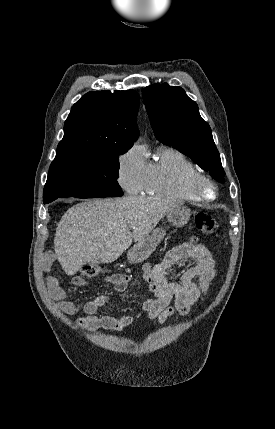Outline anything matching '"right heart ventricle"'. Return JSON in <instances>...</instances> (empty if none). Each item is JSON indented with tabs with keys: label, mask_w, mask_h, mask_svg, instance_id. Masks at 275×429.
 I'll list each match as a JSON object with an SVG mask.
<instances>
[{
	"label": "right heart ventricle",
	"mask_w": 275,
	"mask_h": 429,
	"mask_svg": "<svg viewBox=\"0 0 275 429\" xmlns=\"http://www.w3.org/2000/svg\"><path fill=\"white\" fill-rule=\"evenodd\" d=\"M198 172V167L184 153L173 147H161L146 165L143 191L158 197L198 201L190 190V180Z\"/></svg>",
	"instance_id": "obj_1"
}]
</instances>
